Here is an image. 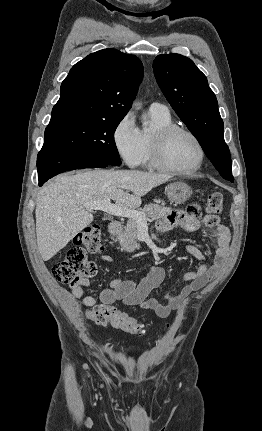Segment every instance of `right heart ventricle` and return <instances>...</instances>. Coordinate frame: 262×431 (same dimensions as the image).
<instances>
[{
  "label": "right heart ventricle",
  "instance_id": "e07e8e85",
  "mask_svg": "<svg viewBox=\"0 0 262 431\" xmlns=\"http://www.w3.org/2000/svg\"><path fill=\"white\" fill-rule=\"evenodd\" d=\"M149 115L151 117L154 127L151 130L144 129L140 131L143 146L141 164L152 167L153 163L151 158V137L153 135V132L157 128L174 124L170 113H161L149 110Z\"/></svg>",
  "mask_w": 262,
  "mask_h": 431
}]
</instances>
